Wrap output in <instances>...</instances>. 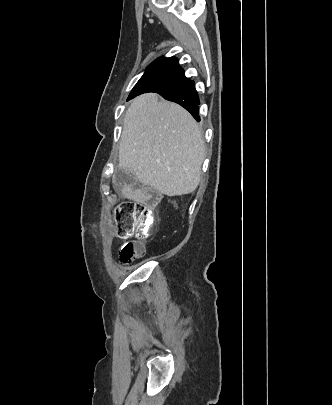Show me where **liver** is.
<instances>
[{"instance_id":"obj_1","label":"liver","mask_w":332,"mask_h":405,"mask_svg":"<svg viewBox=\"0 0 332 405\" xmlns=\"http://www.w3.org/2000/svg\"><path fill=\"white\" fill-rule=\"evenodd\" d=\"M205 146L197 122L180 105L142 94L126 111L119 167L167 196L193 192L201 176Z\"/></svg>"}]
</instances>
